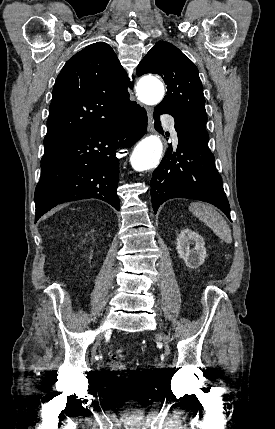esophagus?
Returning a JSON list of instances; mask_svg holds the SVG:
<instances>
[{"label": "esophagus", "mask_w": 275, "mask_h": 429, "mask_svg": "<svg viewBox=\"0 0 275 429\" xmlns=\"http://www.w3.org/2000/svg\"><path fill=\"white\" fill-rule=\"evenodd\" d=\"M147 116H148V131L153 132L154 131V122L152 117V109L150 107H146Z\"/></svg>", "instance_id": "obj_1"}]
</instances>
